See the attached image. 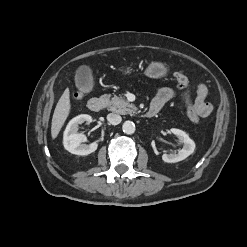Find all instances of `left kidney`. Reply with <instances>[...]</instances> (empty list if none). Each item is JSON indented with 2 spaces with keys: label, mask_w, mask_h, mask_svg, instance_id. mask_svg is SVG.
Here are the masks:
<instances>
[{
  "label": "left kidney",
  "mask_w": 247,
  "mask_h": 247,
  "mask_svg": "<svg viewBox=\"0 0 247 247\" xmlns=\"http://www.w3.org/2000/svg\"><path fill=\"white\" fill-rule=\"evenodd\" d=\"M170 131L183 143V148L178 153L163 154L162 160L167 163H176L186 159L194 152L195 143L183 130L172 128Z\"/></svg>",
  "instance_id": "obj_1"
}]
</instances>
